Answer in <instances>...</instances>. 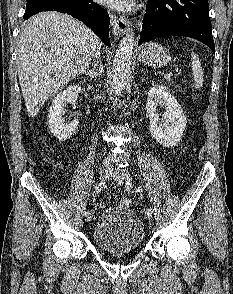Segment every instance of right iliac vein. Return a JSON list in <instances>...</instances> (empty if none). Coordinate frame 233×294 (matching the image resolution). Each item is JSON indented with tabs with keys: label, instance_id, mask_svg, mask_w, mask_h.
I'll use <instances>...</instances> for the list:
<instances>
[{
	"label": "right iliac vein",
	"instance_id": "1",
	"mask_svg": "<svg viewBox=\"0 0 233 294\" xmlns=\"http://www.w3.org/2000/svg\"><path fill=\"white\" fill-rule=\"evenodd\" d=\"M111 173V168L108 166H104L101 168L100 172H99V179L101 181H103L104 179H106ZM93 218V212H90V214L88 216H86V221L89 222L91 221Z\"/></svg>",
	"mask_w": 233,
	"mask_h": 294
}]
</instances>
